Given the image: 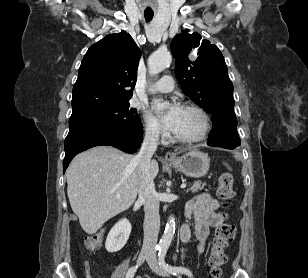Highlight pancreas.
I'll return each instance as SVG.
<instances>
[{"label":"pancreas","instance_id":"obj_1","mask_svg":"<svg viewBox=\"0 0 308 278\" xmlns=\"http://www.w3.org/2000/svg\"><path fill=\"white\" fill-rule=\"evenodd\" d=\"M205 185H206L205 183L196 181V182H194V184L187 190V192H188V191H190L191 193L198 192L199 190L204 189Z\"/></svg>","mask_w":308,"mask_h":278}]
</instances>
